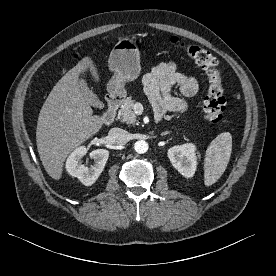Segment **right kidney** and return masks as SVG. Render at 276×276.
<instances>
[{"mask_svg": "<svg viewBox=\"0 0 276 276\" xmlns=\"http://www.w3.org/2000/svg\"><path fill=\"white\" fill-rule=\"evenodd\" d=\"M86 153L87 148L85 146L76 148L67 158L66 170L71 176L77 177L85 186H91L104 170L109 151L106 149L92 151L90 156L94 159V165L90 167H86L81 162Z\"/></svg>", "mask_w": 276, "mask_h": 276, "instance_id": "obj_1", "label": "right kidney"}]
</instances>
